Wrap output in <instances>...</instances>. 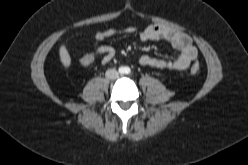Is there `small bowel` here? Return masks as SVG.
<instances>
[{
	"label": "small bowel",
	"instance_id": "c3829d8e",
	"mask_svg": "<svg viewBox=\"0 0 248 165\" xmlns=\"http://www.w3.org/2000/svg\"><path fill=\"white\" fill-rule=\"evenodd\" d=\"M136 31L135 27L130 26L124 29L109 28L97 32L94 36L93 56H100L102 65L108 64L114 59L116 51L112 46L104 45L102 42L116 35H131ZM139 38L144 42L162 40L179 51L178 56L173 59L142 55L139 58V64L143 67H150L163 72L184 71L197 59L198 51L191 38L171 27L160 24L149 25L140 32Z\"/></svg>",
	"mask_w": 248,
	"mask_h": 165
}]
</instances>
